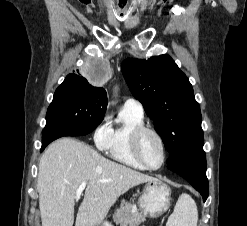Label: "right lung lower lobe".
I'll use <instances>...</instances> for the list:
<instances>
[{
  "mask_svg": "<svg viewBox=\"0 0 247 226\" xmlns=\"http://www.w3.org/2000/svg\"><path fill=\"white\" fill-rule=\"evenodd\" d=\"M43 139H42V148L41 151L53 140L62 137V136H81L86 134L75 133V132H61V133H45L44 130L42 132Z\"/></svg>",
  "mask_w": 247,
  "mask_h": 226,
  "instance_id": "right-lung-lower-lobe-1",
  "label": "right lung lower lobe"
}]
</instances>
